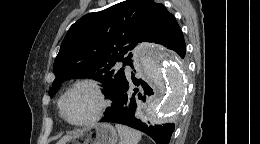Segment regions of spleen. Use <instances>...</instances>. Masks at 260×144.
Wrapping results in <instances>:
<instances>
[{
	"mask_svg": "<svg viewBox=\"0 0 260 144\" xmlns=\"http://www.w3.org/2000/svg\"><path fill=\"white\" fill-rule=\"evenodd\" d=\"M115 126L120 136V144H138L141 140L142 134L139 131L121 124Z\"/></svg>",
	"mask_w": 260,
	"mask_h": 144,
	"instance_id": "1",
	"label": "spleen"
}]
</instances>
